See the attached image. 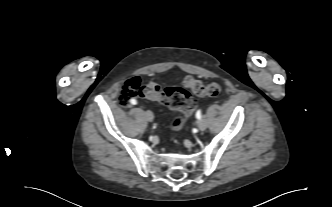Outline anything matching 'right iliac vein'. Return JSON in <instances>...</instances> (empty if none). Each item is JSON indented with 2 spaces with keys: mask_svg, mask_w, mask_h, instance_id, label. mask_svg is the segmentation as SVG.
<instances>
[{
  "mask_svg": "<svg viewBox=\"0 0 332 207\" xmlns=\"http://www.w3.org/2000/svg\"><path fill=\"white\" fill-rule=\"evenodd\" d=\"M145 116H146V119H147L149 122L153 121V119H154V115H153L152 111H150V110H147V111L145 112Z\"/></svg>",
  "mask_w": 332,
  "mask_h": 207,
  "instance_id": "1",
  "label": "right iliac vein"
}]
</instances>
